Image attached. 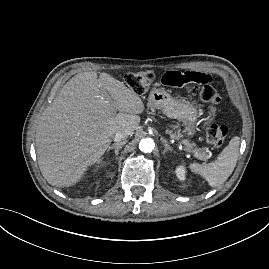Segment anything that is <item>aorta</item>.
<instances>
[{
  "mask_svg": "<svg viewBox=\"0 0 269 269\" xmlns=\"http://www.w3.org/2000/svg\"><path fill=\"white\" fill-rule=\"evenodd\" d=\"M155 148V142L152 138H143L139 143V149L144 153H150Z\"/></svg>",
  "mask_w": 269,
  "mask_h": 269,
  "instance_id": "obj_1",
  "label": "aorta"
}]
</instances>
